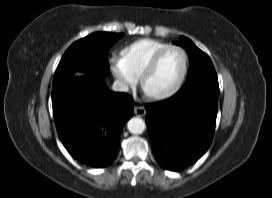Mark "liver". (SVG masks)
<instances>
[{"label":"liver","instance_id":"obj_1","mask_svg":"<svg viewBox=\"0 0 272 198\" xmlns=\"http://www.w3.org/2000/svg\"><path fill=\"white\" fill-rule=\"evenodd\" d=\"M82 75H86V73H83V72H77V73L75 74V76H82Z\"/></svg>","mask_w":272,"mask_h":198}]
</instances>
